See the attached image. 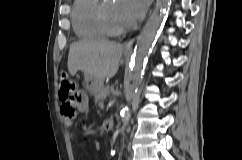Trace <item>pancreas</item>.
Instances as JSON below:
<instances>
[{"label":"pancreas","instance_id":"obj_1","mask_svg":"<svg viewBox=\"0 0 242 160\" xmlns=\"http://www.w3.org/2000/svg\"><path fill=\"white\" fill-rule=\"evenodd\" d=\"M111 88L112 87L109 86L102 87V89L95 95V103L101 106L103 104V101L109 95V91Z\"/></svg>","mask_w":242,"mask_h":160}]
</instances>
